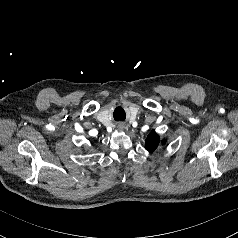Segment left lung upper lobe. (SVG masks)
Wrapping results in <instances>:
<instances>
[{"instance_id": "left-lung-upper-lobe-1", "label": "left lung upper lobe", "mask_w": 238, "mask_h": 238, "mask_svg": "<svg viewBox=\"0 0 238 238\" xmlns=\"http://www.w3.org/2000/svg\"><path fill=\"white\" fill-rule=\"evenodd\" d=\"M164 142V141H162ZM160 137L154 131L150 132L145 141V148L149 152H153L160 145Z\"/></svg>"}]
</instances>
